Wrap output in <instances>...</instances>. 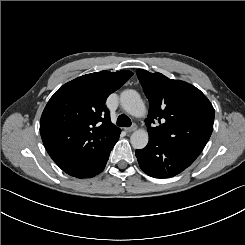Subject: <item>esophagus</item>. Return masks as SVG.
Masks as SVG:
<instances>
[{
    "label": "esophagus",
    "instance_id": "34e87169",
    "mask_svg": "<svg viewBox=\"0 0 245 245\" xmlns=\"http://www.w3.org/2000/svg\"><path fill=\"white\" fill-rule=\"evenodd\" d=\"M137 129V125L134 123L131 127H126L124 130L128 133L133 132Z\"/></svg>",
    "mask_w": 245,
    "mask_h": 245
}]
</instances>
